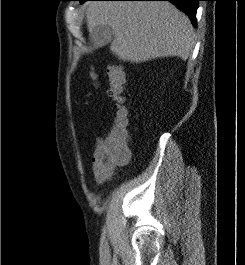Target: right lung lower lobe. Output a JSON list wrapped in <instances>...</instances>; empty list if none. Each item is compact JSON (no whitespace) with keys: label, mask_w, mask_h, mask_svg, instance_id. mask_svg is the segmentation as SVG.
Here are the masks:
<instances>
[{"label":"right lung lower lobe","mask_w":245,"mask_h":265,"mask_svg":"<svg viewBox=\"0 0 245 265\" xmlns=\"http://www.w3.org/2000/svg\"><path fill=\"white\" fill-rule=\"evenodd\" d=\"M123 1H169L184 11L192 23L196 25V11L200 0H123Z\"/></svg>","instance_id":"right-lung-lower-lobe-1"}]
</instances>
